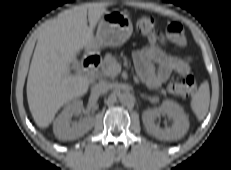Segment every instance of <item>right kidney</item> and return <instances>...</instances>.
<instances>
[{
    "instance_id": "ca27d5eb",
    "label": "right kidney",
    "mask_w": 231,
    "mask_h": 170,
    "mask_svg": "<svg viewBox=\"0 0 231 170\" xmlns=\"http://www.w3.org/2000/svg\"><path fill=\"white\" fill-rule=\"evenodd\" d=\"M83 102L74 100L69 103L53 123V132L60 140H75L82 137L94 126V118L88 116L70 126L71 117L82 110Z\"/></svg>"
}]
</instances>
